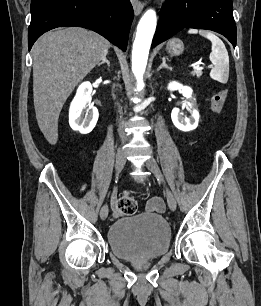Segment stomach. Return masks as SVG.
Segmentation results:
<instances>
[{"label":"stomach","instance_id":"obj_1","mask_svg":"<svg viewBox=\"0 0 261 306\" xmlns=\"http://www.w3.org/2000/svg\"><path fill=\"white\" fill-rule=\"evenodd\" d=\"M166 49L169 54L177 56L184 51V44L180 39L173 38L167 43Z\"/></svg>","mask_w":261,"mask_h":306}]
</instances>
